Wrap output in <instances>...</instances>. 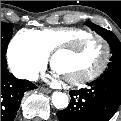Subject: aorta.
Wrapping results in <instances>:
<instances>
[{"label": "aorta", "mask_w": 121, "mask_h": 121, "mask_svg": "<svg viewBox=\"0 0 121 121\" xmlns=\"http://www.w3.org/2000/svg\"><path fill=\"white\" fill-rule=\"evenodd\" d=\"M52 102L58 109H64L68 106V97L65 93L56 91L52 95Z\"/></svg>", "instance_id": "762f6f07"}]
</instances>
